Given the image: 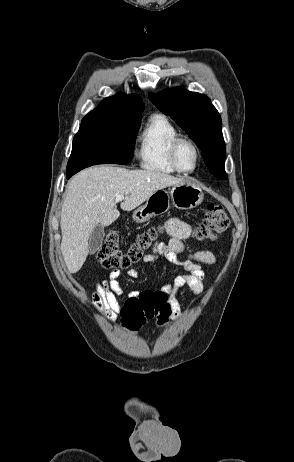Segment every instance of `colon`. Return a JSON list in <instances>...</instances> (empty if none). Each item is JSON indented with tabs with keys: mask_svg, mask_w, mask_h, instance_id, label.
I'll return each mask as SVG.
<instances>
[{
	"mask_svg": "<svg viewBox=\"0 0 294 462\" xmlns=\"http://www.w3.org/2000/svg\"><path fill=\"white\" fill-rule=\"evenodd\" d=\"M230 224L224 208L217 204L207 206L202 222L195 229V236L200 241L214 240L225 232ZM157 229L152 228L140 234L127 251L119 246V234L111 230L97 252V260L105 269L121 270L138 262L157 236ZM171 315L167 296L161 291L146 290L130 296L121 309L122 323L132 330H138L147 320H156L158 324L166 323Z\"/></svg>",
	"mask_w": 294,
	"mask_h": 462,
	"instance_id": "1",
	"label": "colon"
}]
</instances>
